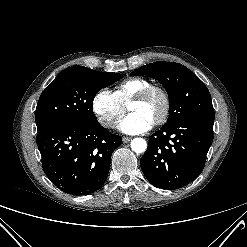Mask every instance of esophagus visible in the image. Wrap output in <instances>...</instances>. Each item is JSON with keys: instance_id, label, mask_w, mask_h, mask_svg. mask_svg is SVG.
<instances>
[{"instance_id": "1", "label": "esophagus", "mask_w": 247, "mask_h": 247, "mask_svg": "<svg viewBox=\"0 0 247 247\" xmlns=\"http://www.w3.org/2000/svg\"><path fill=\"white\" fill-rule=\"evenodd\" d=\"M131 139H132L131 137H123L122 141H123V143H127V142H130Z\"/></svg>"}]
</instances>
